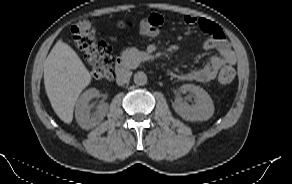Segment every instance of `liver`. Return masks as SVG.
<instances>
[{"label":"liver","mask_w":292,"mask_h":184,"mask_svg":"<svg viewBox=\"0 0 292 184\" xmlns=\"http://www.w3.org/2000/svg\"><path fill=\"white\" fill-rule=\"evenodd\" d=\"M90 82L91 74L77 53L58 40L44 62V84L51 106L63 122H72L75 103Z\"/></svg>","instance_id":"1"}]
</instances>
